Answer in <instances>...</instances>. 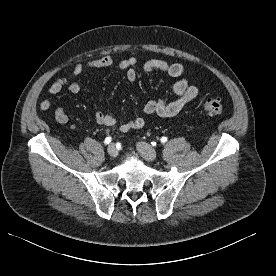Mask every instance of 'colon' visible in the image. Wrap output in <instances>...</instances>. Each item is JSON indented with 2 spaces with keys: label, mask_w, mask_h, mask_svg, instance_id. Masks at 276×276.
<instances>
[{
  "label": "colon",
  "mask_w": 276,
  "mask_h": 276,
  "mask_svg": "<svg viewBox=\"0 0 276 276\" xmlns=\"http://www.w3.org/2000/svg\"><path fill=\"white\" fill-rule=\"evenodd\" d=\"M204 110L209 116H220L223 113V104L218 97H209L204 103Z\"/></svg>",
  "instance_id": "1"
}]
</instances>
